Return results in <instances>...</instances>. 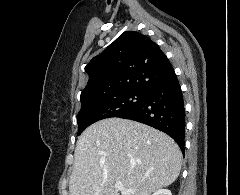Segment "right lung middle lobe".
Instances as JSON below:
<instances>
[{
    "instance_id": "1",
    "label": "right lung middle lobe",
    "mask_w": 240,
    "mask_h": 195,
    "mask_svg": "<svg viewBox=\"0 0 240 195\" xmlns=\"http://www.w3.org/2000/svg\"><path fill=\"white\" fill-rule=\"evenodd\" d=\"M147 92L136 89L120 90L110 95L81 100V110L77 116L78 135L89 125L119 115L138 106Z\"/></svg>"
}]
</instances>
